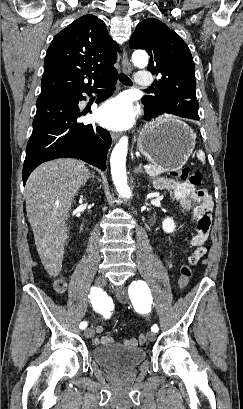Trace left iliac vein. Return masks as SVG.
<instances>
[{
	"label": "left iliac vein",
	"instance_id": "left-iliac-vein-1",
	"mask_svg": "<svg viewBox=\"0 0 243 409\" xmlns=\"http://www.w3.org/2000/svg\"><path fill=\"white\" fill-rule=\"evenodd\" d=\"M116 297L120 302L126 303L128 300L126 289L124 287L116 288ZM146 336L149 341H154L156 338V334L153 331L147 332Z\"/></svg>",
	"mask_w": 243,
	"mask_h": 409
}]
</instances>
